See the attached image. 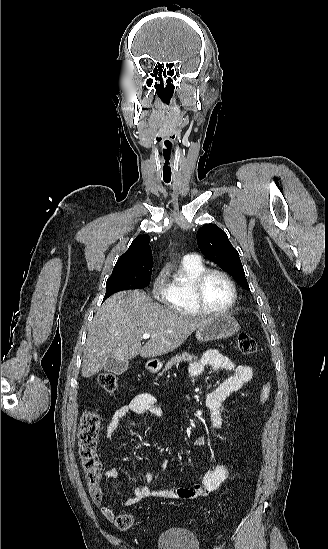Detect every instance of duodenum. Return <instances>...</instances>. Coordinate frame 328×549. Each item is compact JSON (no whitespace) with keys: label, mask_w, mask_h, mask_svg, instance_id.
I'll return each mask as SVG.
<instances>
[{"label":"duodenum","mask_w":328,"mask_h":549,"mask_svg":"<svg viewBox=\"0 0 328 549\" xmlns=\"http://www.w3.org/2000/svg\"><path fill=\"white\" fill-rule=\"evenodd\" d=\"M150 369H153V367H152V366H150Z\"/></svg>","instance_id":"duodenum-1"}]
</instances>
